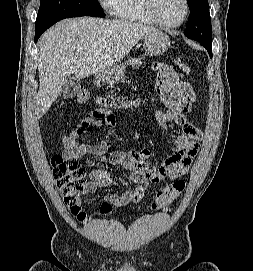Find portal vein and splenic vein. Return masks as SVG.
Here are the masks:
<instances>
[{
	"instance_id": "1",
	"label": "portal vein and splenic vein",
	"mask_w": 253,
	"mask_h": 271,
	"mask_svg": "<svg viewBox=\"0 0 253 271\" xmlns=\"http://www.w3.org/2000/svg\"><path fill=\"white\" fill-rule=\"evenodd\" d=\"M102 52V49H98L97 51H96V54H100Z\"/></svg>"
}]
</instances>
